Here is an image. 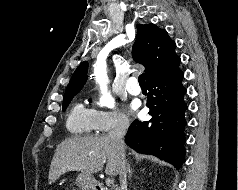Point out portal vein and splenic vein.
<instances>
[{
  "instance_id": "18ae733b",
  "label": "portal vein and splenic vein",
  "mask_w": 238,
  "mask_h": 190,
  "mask_svg": "<svg viewBox=\"0 0 238 190\" xmlns=\"http://www.w3.org/2000/svg\"><path fill=\"white\" fill-rule=\"evenodd\" d=\"M106 183H107V185H111V184H113V179H107V181H106Z\"/></svg>"
}]
</instances>
